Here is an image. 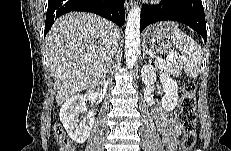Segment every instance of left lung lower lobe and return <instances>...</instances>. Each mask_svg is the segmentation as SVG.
Instances as JSON below:
<instances>
[{"label": "left lung lower lobe", "instance_id": "left-lung-lower-lobe-1", "mask_svg": "<svg viewBox=\"0 0 231 151\" xmlns=\"http://www.w3.org/2000/svg\"><path fill=\"white\" fill-rule=\"evenodd\" d=\"M166 0L156 5H145L141 9L140 32L159 21H177L188 25L207 41L204 8L201 0H177L169 5Z\"/></svg>", "mask_w": 231, "mask_h": 151}]
</instances>
